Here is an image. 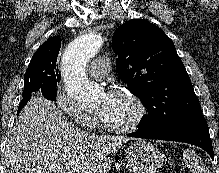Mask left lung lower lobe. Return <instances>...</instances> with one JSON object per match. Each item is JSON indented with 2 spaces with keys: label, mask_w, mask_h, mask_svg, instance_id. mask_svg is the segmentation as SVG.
<instances>
[{
  "label": "left lung lower lobe",
  "mask_w": 219,
  "mask_h": 173,
  "mask_svg": "<svg viewBox=\"0 0 219 173\" xmlns=\"http://www.w3.org/2000/svg\"><path fill=\"white\" fill-rule=\"evenodd\" d=\"M130 137L170 140L190 143L204 149L214 159L209 128L202 115H194L175 122L167 128L157 132L137 130L128 134Z\"/></svg>",
  "instance_id": "left-lung-lower-lobe-1"
}]
</instances>
